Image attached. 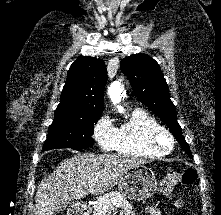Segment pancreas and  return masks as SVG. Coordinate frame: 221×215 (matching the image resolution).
<instances>
[{
	"label": "pancreas",
	"instance_id": "obj_1",
	"mask_svg": "<svg viewBox=\"0 0 221 215\" xmlns=\"http://www.w3.org/2000/svg\"><path fill=\"white\" fill-rule=\"evenodd\" d=\"M114 208L131 209V204L119 193L110 192L98 199L94 206L93 215H108V212Z\"/></svg>",
	"mask_w": 221,
	"mask_h": 215
}]
</instances>
